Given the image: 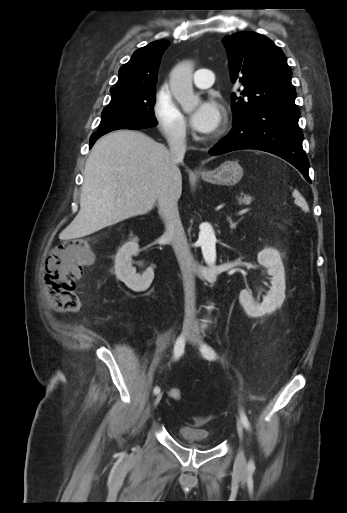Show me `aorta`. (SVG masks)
Here are the masks:
<instances>
[{"label": "aorta", "instance_id": "1", "mask_svg": "<svg viewBox=\"0 0 347 513\" xmlns=\"http://www.w3.org/2000/svg\"><path fill=\"white\" fill-rule=\"evenodd\" d=\"M194 64L185 60L178 63L170 74L171 91L185 112H190L200 102L192 86ZM199 243L206 264L214 269L216 263V236L211 226L201 227Z\"/></svg>", "mask_w": 347, "mask_h": 513}]
</instances>
